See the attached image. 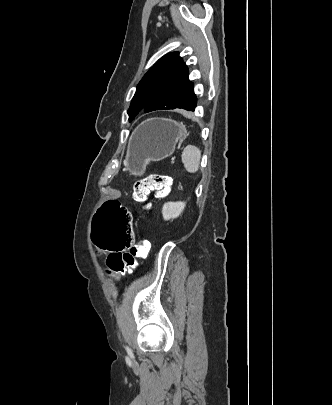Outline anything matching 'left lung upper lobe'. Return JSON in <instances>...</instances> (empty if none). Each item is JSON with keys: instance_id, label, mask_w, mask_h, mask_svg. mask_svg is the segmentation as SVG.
<instances>
[{"instance_id": "1", "label": "left lung upper lobe", "mask_w": 332, "mask_h": 405, "mask_svg": "<svg viewBox=\"0 0 332 405\" xmlns=\"http://www.w3.org/2000/svg\"><path fill=\"white\" fill-rule=\"evenodd\" d=\"M196 102L188 68L178 52H171L159 59L139 82L128 110L129 121L145 108L146 111L177 108L190 111Z\"/></svg>"}]
</instances>
